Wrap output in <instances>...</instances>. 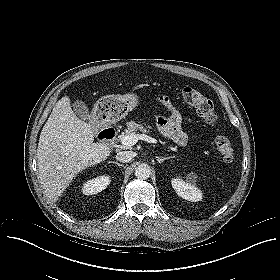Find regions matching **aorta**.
<instances>
[{
  "instance_id": "obj_1",
  "label": "aorta",
  "mask_w": 280,
  "mask_h": 280,
  "mask_svg": "<svg viewBox=\"0 0 280 280\" xmlns=\"http://www.w3.org/2000/svg\"><path fill=\"white\" fill-rule=\"evenodd\" d=\"M150 173H151V169L145 163L139 164L135 169V176L138 179H144L145 180V179L149 178Z\"/></svg>"
}]
</instances>
